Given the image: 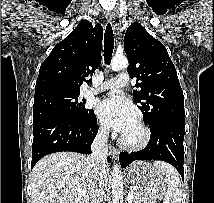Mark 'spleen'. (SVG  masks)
Wrapping results in <instances>:
<instances>
[{"label":"spleen","mask_w":214,"mask_h":203,"mask_svg":"<svg viewBox=\"0 0 214 203\" xmlns=\"http://www.w3.org/2000/svg\"><path fill=\"white\" fill-rule=\"evenodd\" d=\"M154 166L166 177L167 192L163 203H181V181L177 171L170 165L156 161Z\"/></svg>","instance_id":"spleen-1"}]
</instances>
